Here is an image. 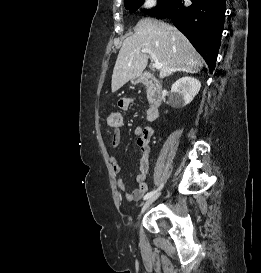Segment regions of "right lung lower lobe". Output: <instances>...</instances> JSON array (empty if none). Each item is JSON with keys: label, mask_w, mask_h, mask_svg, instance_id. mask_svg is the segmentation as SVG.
Listing matches in <instances>:
<instances>
[{"label": "right lung lower lobe", "mask_w": 261, "mask_h": 273, "mask_svg": "<svg viewBox=\"0 0 261 273\" xmlns=\"http://www.w3.org/2000/svg\"><path fill=\"white\" fill-rule=\"evenodd\" d=\"M225 0H173L154 14L157 19L170 18L206 61L210 72L215 68L225 19Z\"/></svg>", "instance_id": "98d812e1"}]
</instances>
